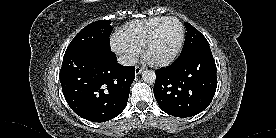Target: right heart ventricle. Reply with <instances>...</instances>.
<instances>
[{"instance_id":"obj_1","label":"right heart ventricle","mask_w":276,"mask_h":138,"mask_svg":"<svg viewBox=\"0 0 276 138\" xmlns=\"http://www.w3.org/2000/svg\"><path fill=\"white\" fill-rule=\"evenodd\" d=\"M165 17H153L126 24L117 34V38L139 51L143 49L154 27Z\"/></svg>"}]
</instances>
